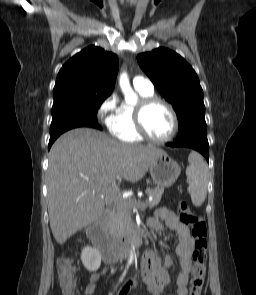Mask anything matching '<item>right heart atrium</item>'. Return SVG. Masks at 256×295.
Wrapping results in <instances>:
<instances>
[{
    "mask_svg": "<svg viewBox=\"0 0 256 295\" xmlns=\"http://www.w3.org/2000/svg\"><path fill=\"white\" fill-rule=\"evenodd\" d=\"M120 107L119 98L116 93L109 95L100 104L98 115L109 128L117 121Z\"/></svg>",
    "mask_w": 256,
    "mask_h": 295,
    "instance_id": "d8ad5b80",
    "label": "right heart atrium"
}]
</instances>
